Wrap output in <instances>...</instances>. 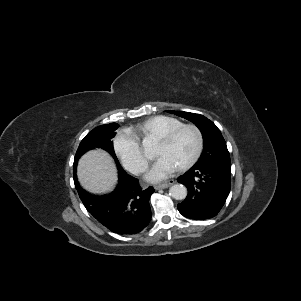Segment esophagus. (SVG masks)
Wrapping results in <instances>:
<instances>
[{
  "label": "esophagus",
  "instance_id": "34e87169",
  "mask_svg": "<svg viewBox=\"0 0 301 301\" xmlns=\"http://www.w3.org/2000/svg\"><path fill=\"white\" fill-rule=\"evenodd\" d=\"M174 183H175V180L174 179H170V180L166 181L165 183L156 185L154 188L155 189H164V188L169 187L170 185H173Z\"/></svg>",
  "mask_w": 301,
  "mask_h": 301
}]
</instances>
